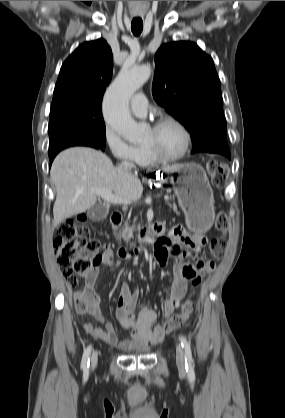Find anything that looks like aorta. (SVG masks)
Segmentation results:
<instances>
[{
    "label": "aorta",
    "instance_id": "aorta-1",
    "mask_svg": "<svg viewBox=\"0 0 285 418\" xmlns=\"http://www.w3.org/2000/svg\"><path fill=\"white\" fill-rule=\"evenodd\" d=\"M148 65L123 68L106 91L103 114L107 125L129 142H139L144 127L137 124L129 112L131 96L149 79Z\"/></svg>",
    "mask_w": 285,
    "mask_h": 418
}]
</instances>
